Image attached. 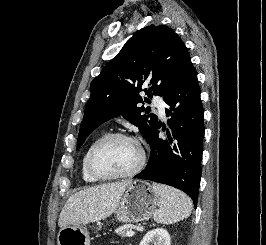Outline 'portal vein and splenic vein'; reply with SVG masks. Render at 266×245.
Segmentation results:
<instances>
[{
    "mask_svg": "<svg viewBox=\"0 0 266 245\" xmlns=\"http://www.w3.org/2000/svg\"><path fill=\"white\" fill-rule=\"evenodd\" d=\"M134 235V231H126V233H124V237H134Z\"/></svg>",
    "mask_w": 266,
    "mask_h": 245,
    "instance_id": "portal-vein-and-splenic-vein-1",
    "label": "portal vein and splenic vein"
}]
</instances>
